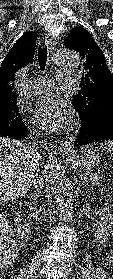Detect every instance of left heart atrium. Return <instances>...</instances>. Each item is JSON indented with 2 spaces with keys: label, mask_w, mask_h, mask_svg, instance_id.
<instances>
[{
  "label": "left heart atrium",
  "mask_w": 113,
  "mask_h": 279,
  "mask_svg": "<svg viewBox=\"0 0 113 279\" xmlns=\"http://www.w3.org/2000/svg\"><path fill=\"white\" fill-rule=\"evenodd\" d=\"M35 117L44 129L57 131L71 122V109L62 98L47 96L38 103Z\"/></svg>",
  "instance_id": "39dd6f15"
}]
</instances>
